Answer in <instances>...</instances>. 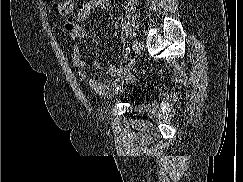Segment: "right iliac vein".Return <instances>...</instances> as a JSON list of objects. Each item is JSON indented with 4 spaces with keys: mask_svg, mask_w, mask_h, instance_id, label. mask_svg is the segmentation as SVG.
<instances>
[{
    "mask_svg": "<svg viewBox=\"0 0 243 182\" xmlns=\"http://www.w3.org/2000/svg\"><path fill=\"white\" fill-rule=\"evenodd\" d=\"M142 50V45L138 41H134L133 43V51L135 54H140Z\"/></svg>",
    "mask_w": 243,
    "mask_h": 182,
    "instance_id": "1",
    "label": "right iliac vein"
}]
</instances>
